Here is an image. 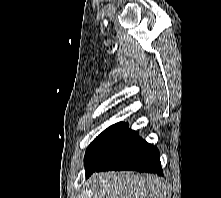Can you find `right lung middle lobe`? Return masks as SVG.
Masks as SVG:
<instances>
[{
  "instance_id": "right-lung-middle-lobe-1",
  "label": "right lung middle lobe",
  "mask_w": 221,
  "mask_h": 198,
  "mask_svg": "<svg viewBox=\"0 0 221 198\" xmlns=\"http://www.w3.org/2000/svg\"><path fill=\"white\" fill-rule=\"evenodd\" d=\"M137 135L126 123H117L104 130L87 148L84 158L86 173L101 166Z\"/></svg>"
}]
</instances>
